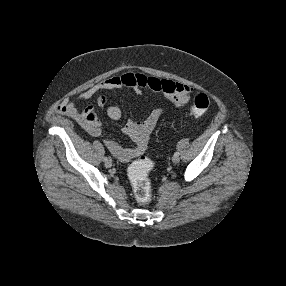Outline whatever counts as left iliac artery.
Instances as JSON below:
<instances>
[{"label": "left iliac artery", "instance_id": "left-iliac-artery-1", "mask_svg": "<svg viewBox=\"0 0 286 286\" xmlns=\"http://www.w3.org/2000/svg\"><path fill=\"white\" fill-rule=\"evenodd\" d=\"M174 155L179 156V152H175Z\"/></svg>", "mask_w": 286, "mask_h": 286}]
</instances>
